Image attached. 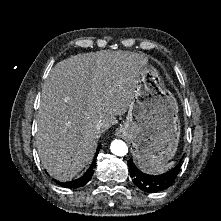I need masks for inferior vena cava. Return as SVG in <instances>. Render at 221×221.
I'll list each match as a JSON object with an SVG mask.
<instances>
[{
  "mask_svg": "<svg viewBox=\"0 0 221 221\" xmlns=\"http://www.w3.org/2000/svg\"><path fill=\"white\" fill-rule=\"evenodd\" d=\"M102 127H103L102 121L97 122L96 125H95L96 130H100Z\"/></svg>",
  "mask_w": 221,
  "mask_h": 221,
  "instance_id": "602c4592",
  "label": "inferior vena cava"
}]
</instances>
